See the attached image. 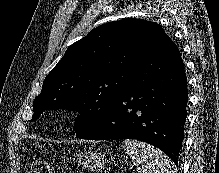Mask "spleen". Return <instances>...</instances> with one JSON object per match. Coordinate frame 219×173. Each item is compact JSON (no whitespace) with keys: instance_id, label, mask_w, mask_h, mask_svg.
Returning a JSON list of instances; mask_svg holds the SVG:
<instances>
[{"instance_id":"1","label":"spleen","mask_w":219,"mask_h":173,"mask_svg":"<svg viewBox=\"0 0 219 173\" xmlns=\"http://www.w3.org/2000/svg\"><path fill=\"white\" fill-rule=\"evenodd\" d=\"M123 146L137 166L138 173H175L174 164L157 148L133 139H126Z\"/></svg>"}]
</instances>
